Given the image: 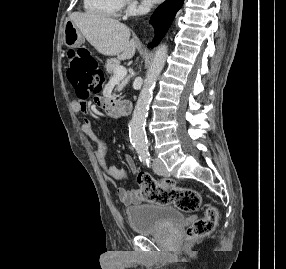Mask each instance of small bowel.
I'll return each instance as SVG.
<instances>
[{"label": "small bowel", "instance_id": "c3829d8e", "mask_svg": "<svg viewBox=\"0 0 286 269\" xmlns=\"http://www.w3.org/2000/svg\"><path fill=\"white\" fill-rule=\"evenodd\" d=\"M95 99H104V94H95ZM96 106H99L100 110H105L106 106H109V101H96ZM72 110L74 113L82 116V132L92 140L96 145L95 151L96 161L104 173L106 179L115 186L116 193L121 202L125 204L137 203V192L133 189H127L120 186L128 179V173L124 170H120L115 166L108 165L106 161V155L108 146L105 139L96 132L90 119L91 108L86 103V96H79L77 100L72 102ZM107 120H117L116 111H107ZM125 164L128 166L131 172H136V164L131 156L125 155L123 158Z\"/></svg>", "mask_w": 286, "mask_h": 269}]
</instances>
